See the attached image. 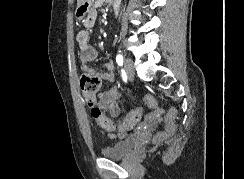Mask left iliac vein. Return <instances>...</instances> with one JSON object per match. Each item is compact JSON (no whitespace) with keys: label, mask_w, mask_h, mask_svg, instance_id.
<instances>
[{"label":"left iliac vein","mask_w":244,"mask_h":179,"mask_svg":"<svg viewBox=\"0 0 244 179\" xmlns=\"http://www.w3.org/2000/svg\"><path fill=\"white\" fill-rule=\"evenodd\" d=\"M124 67H125V72L129 78H134L135 71H134V65L131 59L126 58L124 60Z\"/></svg>","instance_id":"1"}]
</instances>
